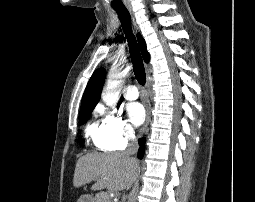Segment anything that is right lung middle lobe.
<instances>
[{
	"label": "right lung middle lobe",
	"instance_id": "dd1d6c3e",
	"mask_svg": "<svg viewBox=\"0 0 255 202\" xmlns=\"http://www.w3.org/2000/svg\"><path fill=\"white\" fill-rule=\"evenodd\" d=\"M94 108H82L80 110V114H79V121L80 123H85L86 120L89 118L91 112L93 111Z\"/></svg>",
	"mask_w": 255,
	"mask_h": 202
}]
</instances>
